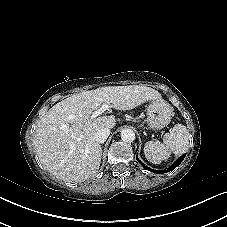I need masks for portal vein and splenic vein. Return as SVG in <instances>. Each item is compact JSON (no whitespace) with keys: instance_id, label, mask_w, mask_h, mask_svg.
<instances>
[{"instance_id":"portal-vein-and-splenic-vein-1","label":"portal vein and splenic vein","mask_w":227,"mask_h":227,"mask_svg":"<svg viewBox=\"0 0 227 227\" xmlns=\"http://www.w3.org/2000/svg\"><path fill=\"white\" fill-rule=\"evenodd\" d=\"M107 109H108V105H106V104L102 105L101 108H99L98 110H96L92 113L91 118H96L97 116L102 114Z\"/></svg>"}]
</instances>
